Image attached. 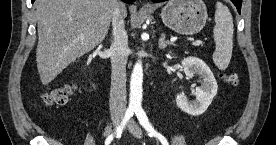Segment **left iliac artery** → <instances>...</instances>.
Segmentation results:
<instances>
[{"label":"left iliac artery","mask_w":276,"mask_h":145,"mask_svg":"<svg viewBox=\"0 0 276 145\" xmlns=\"http://www.w3.org/2000/svg\"><path fill=\"white\" fill-rule=\"evenodd\" d=\"M135 114H136V117H137L139 123L148 132V135L150 137H152V136L157 137L160 140V142L162 143V145H169L167 139L163 135L158 133L156 130H154V128L152 127L151 123L148 120V117H147L145 111L143 110V108L141 106H137L135 108Z\"/></svg>","instance_id":"obj_1"}]
</instances>
